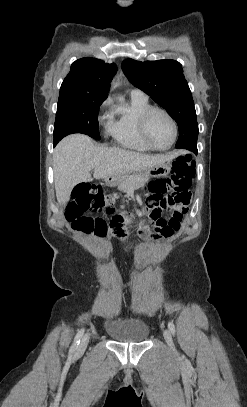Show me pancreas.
Masks as SVG:
<instances>
[{
	"mask_svg": "<svg viewBox=\"0 0 247 407\" xmlns=\"http://www.w3.org/2000/svg\"><path fill=\"white\" fill-rule=\"evenodd\" d=\"M146 182H148V178L147 177H143V176H128L124 179L123 182H121L118 185V189L120 191L126 192L129 189H133L136 188L138 186H142L144 185Z\"/></svg>",
	"mask_w": 247,
	"mask_h": 407,
	"instance_id": "pancreas-1",
	"label": "pancreas"
}]
</instances>
